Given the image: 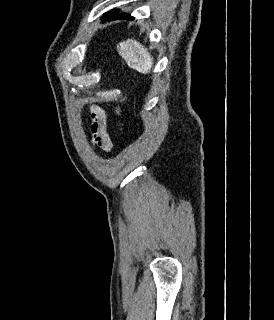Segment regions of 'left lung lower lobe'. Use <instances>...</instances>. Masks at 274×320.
Wrapping results in <instances>:
<instances>
[{
    "mask_svg": "<svg viewBox=\"0 0 274 320\" xmlns=\"http://www.w3.org/2000/svg\"><path fill=\"white\" fill-rule=\"evenodd\" d=\"M103 19L107 20H115V19H127V20H132L133 17H131L129 14L123 13L119 14L118 12L116 13H106Z\"/></svg>",
    "mask_w": 274,
    "mask_h": 320,
    "instance_id": "obj_1",
    "label": "left lung lower lobe"
}]
</instances>
